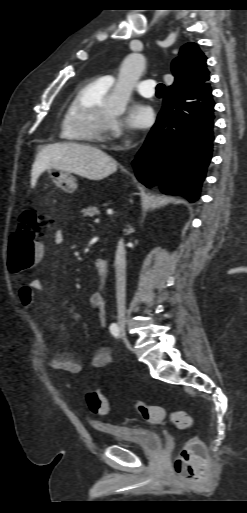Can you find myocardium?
I'll return each mask as SVG.
<instances>
[{
    "mask_svg": "<svg viewBox=\"0 0 247 513\" xmlns=\"http://www.w3.org/2000/svg\"><path fill=\"white\" fill-rule=\"evenodd\" d=\"M108 118H110V113L107 108L105 112L95 117L93 124L97 129H102L106 126Z\"/></svg>",
    "mask_w": 247,
    "mask_h": 513,
    "instance_id": "1",
    "label": "myocardium"
}]
</instances>
